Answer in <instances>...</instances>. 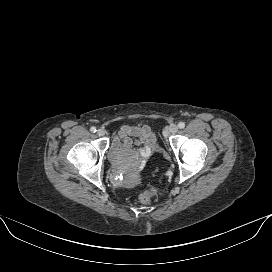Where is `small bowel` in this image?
Wrapping results in <instances>:
<instances>
[{
    "label": "small bowel",
    "mask_w": 272,
    "mask_h": 272,
    "mask_svg": "<svg viewBox=\"0 0 272 272\" xmlns=\"http://www.w3.org/2000/svg\"><path fill=\"white\" fill-rule=\"evenodd\" d=\"M156 137L148 125H124L112 139L113 153L128 152L147 158L155 146Z\"/></svg>",
    "instance_id": "1"
}]
</instances>
